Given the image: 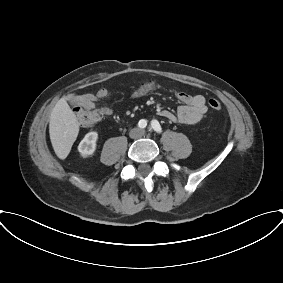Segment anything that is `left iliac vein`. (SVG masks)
<instances>
[{"label": "left iliac vein", "instance_id": "left-iliac-vein-1", "mask_svg": "<svg viewBox=\"0 0 283 283\" xmlns=\"http://www.w3.org/2000/svg\"><path fill=\"white\" fill-rule=\"evenodd\" d=\"M145 134H146L145 131L141 132V136H145Z\"/></svg>", "mask_w": 283, "mask_h": 283}]
</instances>
